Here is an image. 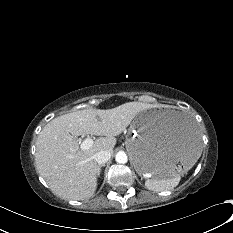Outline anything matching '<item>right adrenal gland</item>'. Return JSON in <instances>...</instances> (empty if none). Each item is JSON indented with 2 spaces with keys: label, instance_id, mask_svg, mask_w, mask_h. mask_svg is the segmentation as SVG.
<instances>
[{
  "label": "right adrenal gland",
  "instance_id": "1",
  "mask_svg": "<svg viewBox=\"0 0 233 233\" xmlns=\"http://www.w3.org/2000/svg\"><path fill=\"white\" fill-rule=\"evenodd\" d=\"M105 166V164H101V165H99L98 166V168L100 169V168H102V167H104ZM101 170V169H100Z\"/></svg>",
  "mask_w": 233,
  "mask_h": 233
}]
</instances>
